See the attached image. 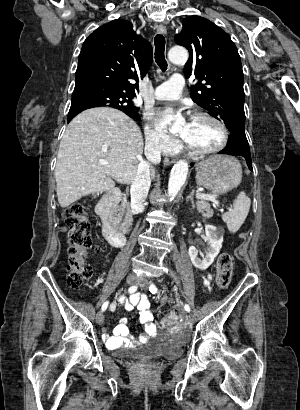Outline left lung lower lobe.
I'll use <instances>...</instances> for the list:
<instances>
[{
  "instance_id": "0a47b994",
  "label": "left lung lower lobe",
  "mask_w": 300,
  "mask_h": 410,
  "mask_svg": "<svg viewBox=\"0 0 300 410\" xmlns=\"http://www.w3.org/2000/svg\"><path fill=\"white\" fill-rule=\"evenodd\" d=\"M219 153L243 156L247 161L248 167L252 170L250 149L246 135L239 132H232L229 136L227 146Z\"/></svg>"
}]
</instances>
